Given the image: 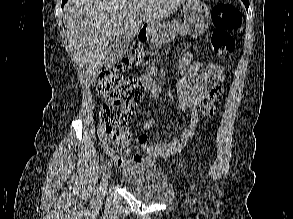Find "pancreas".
Returning <instances> with one entry per match:
<instances>
[{"label":"pancreas","instance_id":"obj_1","mask_svg":"<svg viewBox=\"0 0 293 219\" xmlns=\"http://www.w3.org/2000/svg\"><path fill=\"white\" fill-rule=\"evenodd\" d=\"M163 28L159 33L152 36L151 43L156 47H161L170 37L178 34L185 35L187 33L185 26L180 24L179 19L166 23Z\"/></svg>","mask_w":293,"mask_h":219}]
</instances>
